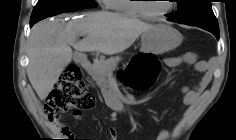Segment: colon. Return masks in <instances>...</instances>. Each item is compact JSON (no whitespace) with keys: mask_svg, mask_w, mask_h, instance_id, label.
<instances>
[{"mask_svg":"<svg viewBox=\"0 0 236 140\" xmlns=\"http://www.w3.org/2000/svg\"><path fill=\"white\" fill-rule=\"evenodd\" d=\"M159 72L160 63L155 57L135 56L124 68L122 78L131 89L146 91L154 85ZM95 103L96 98L88 90L81 70L77 65L72 64L63 71L50 93L46 114L50 121L58 124L62 112L89 110L95 106Z\"/></svg>","mask_w":236,"mask_h":140,"instance_id":"1","label":"colon"}]
</instances>
